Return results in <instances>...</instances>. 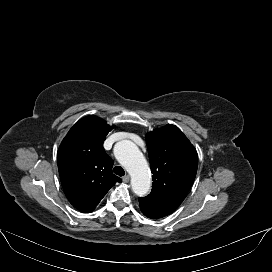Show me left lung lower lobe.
I'll list each match as a JSON object with an SVG mask.
<instances>
[{
	"label": "left lung lower lobe",
	"mask_w": 272,
	"mask_h": 272,
	"mask_svg": "<svg viewBox=\"0 0 272 272\" xmlns=\"http://www.w3.org/2000/svg\"><path fill=\"white\" fill-rule=\"evenodd\" d=\"M144 214V213H143ZM145 216H147L148 218H152V219H155V218H153L152 216H149V215H146V214H144Z\"/></svg>",
	"instance_id": "1"
}]
</instances>
